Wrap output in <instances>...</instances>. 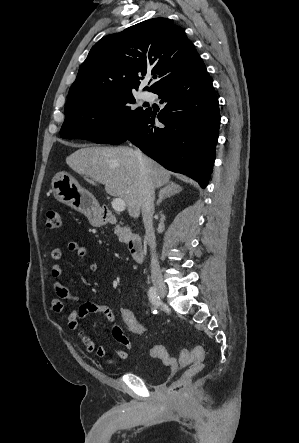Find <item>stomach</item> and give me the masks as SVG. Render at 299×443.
<instances>
[{
	"label": "stomach",
	"instance_id": "1",
	"mask_svg": "<svg viewBox=\"0 0 299 443\" xmlns=\"http://www.w3.org/2000/svg\"><path fill=\"white\" fill-rule=\"evenodd\" d=\"M52 191L55 199L85 214L93 226L105 224L98 204L88 191L67 172H58L52 179Z\"/></svg>",
	"mask_w": 299,
	"mask_h": 443
}]
</instances>
